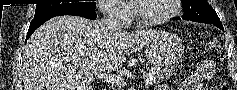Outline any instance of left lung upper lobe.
Masks as SVG:
<instances>
[{"mask_svg":"<svg viewBox=\"0 0 237 90\" xmlns=\"http://www.w3.org/2000/svg\"><path fill=\"white\" fill-rule=\"evenodd\" d=\"M184 9L185 20L202 22L213 25H222L215 10L206 0H181Z\"/></svg>","mask_w":237,"mask_h":90,"instance_id":"obj_1","label":"left lung upper lobe"}]
</instances>
